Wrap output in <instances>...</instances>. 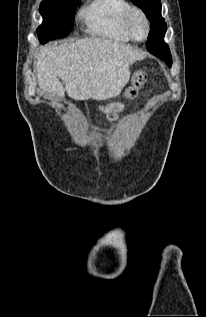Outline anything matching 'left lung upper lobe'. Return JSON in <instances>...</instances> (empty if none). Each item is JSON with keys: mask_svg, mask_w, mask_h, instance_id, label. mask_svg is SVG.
Listing matches in <instances>:
<instances>
[{"mask_svg": "<svg viewBox=\"0 0 206 317\" xmlns=\"http://www.w3.org/2000/svg\"><path fill=\"white\" fill-rule=\"evenodd\" d=\"M135 5L140 7L150 20V33L148 36L147 44L155 41H164L167 26L164 18L161 16V2L160 0H131ZM146 44V46H147ZM163 59L168 66H171V54L165 55Z\"/></svg>", "mask_w": 206, "mask_h": 317, "instance_id": "obj_1", "label": "left lung upper lobe"}]
</instances>
